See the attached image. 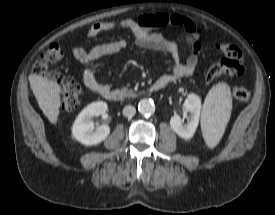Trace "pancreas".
<instances>
[{
  "instance_id": "obj_1",
  "label": "pancreas",
  "mask_w": 275,
  "mask_h": 215,
  "mask_svg": "<svg viewBox=\"0 0 275 215\" xmlns=\"http://www.w3.org/2000/svg\"><path fill=\"white\" fill-rule=\"evenodd\" d=\"M122 93L126 97H135L136 96V94L134 93V90L127 89L126 87H124L122 89Z\"/></svg>"
}]
</instances>
